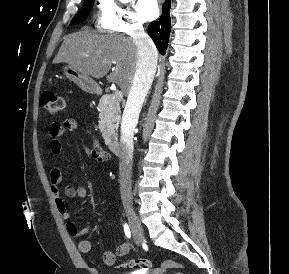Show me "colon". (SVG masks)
Returning <instances> with one entry per match:
<instances>
[{
  "mask_svg": "<svg viewBox=\"0 0 289 274\" xmlns=\"http://www.w3.org/2000/svg\"><path fill=\"white\" fill-rule=\"evenodd\" d=\"M41 106L46 109L51 114H56L63 110L65 106V100L62 96L55 94L50 91H46L42 94L41 97ZM151 267V263L146 258H136L129 260L119 266V268H128L134 271L145 272ZM166 269L175 270V274H182L181 265L174 261H164L161 265L160 271Z\"/></svg>",
  "mask_w": 289,
  "mask_h": 274,
  "instance_id": "1",
  "label": "colon"
}]
</instances>
